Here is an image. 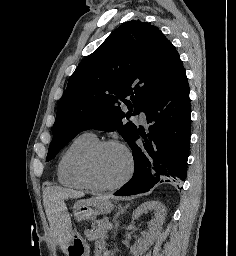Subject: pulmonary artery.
<instances>
[{"mask_svg": "<svg viewBox=\"0 0 236 256\" xmlns=\"http://www.w3.org/2000/svg\"><path fill=\"white\" fill-rule=\"evenodd\" d=\"M139 118L142 122H145L146 121V114L141 111L140 114H139Z\"/></svg>", "mask_w": 236, "mask_h": 256, "instance_id": "1", "label": "pulmonary artery"}]
</instances>
